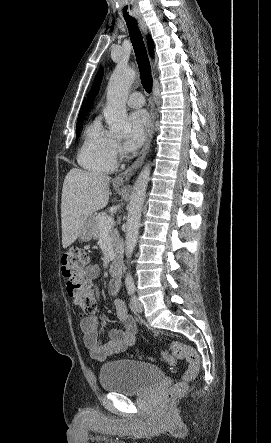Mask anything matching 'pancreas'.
<instances>
[{
	"label": "pancreas",
	"instance_id": "1",
	"mask_svg": "<svg viewBox=\"0 0 271 443\" xmlns=\"http://www.w3.org/2000/svg\"><path fill=\"white\" fill-rule=\"evenodd\" d=\"M100 218H106L105 212H100V214H96V216L94 218V223H93V225H94V233H93L94 239H98V237H100V233H102V231H104L103 225H100ZM106 229L110 235V239L112 241L113 247H117V245H116V239L118 237L117 229H110V227H106Z\"/></svg>",
	"mask_w": 271,
	"mask_h": 443
}]
</instances>
